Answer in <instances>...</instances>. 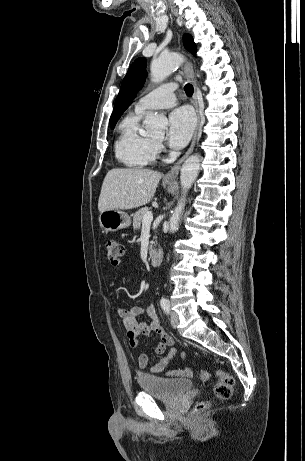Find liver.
<instances>
[{
    "label": "liver",
    "mask_w": 305,
    "mask_h": 461,
    "mask_svg": "<svg viewBox=\"0 0 305 461\" xmlns=\"http://www.w3.org/2000/svg\"><path fill=\"white\" fill-rule=\"evenodd\" d=\"M161 177V173L149 169L109 170L102 184L98 210H129L149 203Z\"/></svg>",
    "instance_id": "1"
}]
</instances>
